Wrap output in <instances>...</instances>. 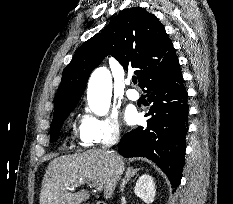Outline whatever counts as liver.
<instances>
[{"mask_svg": "<svg viewBox=\"0 0 233 204\" xmlns=\"http://www.w3.org/2000/svg\"><path fill=\"white\" fill-rule=\"evenodd\" d=\"M125 170L123 159L114 152L90 149L83 153L63 155L50 161L40 193V204H81L90 197L89 192H71L80 180L99 183L104 198L112 197Z\"/></svg>", "mask_w": 233, "mask_h": 204, "instance_id": "6515ba94", "label": "liver"}]
</instances>
